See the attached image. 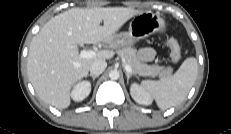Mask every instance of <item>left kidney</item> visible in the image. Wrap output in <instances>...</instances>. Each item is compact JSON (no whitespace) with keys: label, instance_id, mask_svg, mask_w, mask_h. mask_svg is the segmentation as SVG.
<instances>
[{"label":"left kidney","instance_id":"5707ae66","mask_svg":"<svg viewBox=\"0 0 231 134\" xmlns=\"http://www.w3.org/2000/svg\"><path fill=\"white\" fill-rule=\"evenodd\" d=\"M130 94L132 98L141 105H150L152 104V98L150 94L137 83H132L130 87Z\"/></svg>","mask_w":231,"mask_h":134}]
</instances>
